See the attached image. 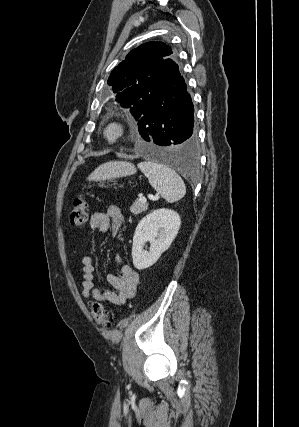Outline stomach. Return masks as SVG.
Masks as SVG:
<instances>
[{
  "instance_id": "stomach-1",
  "label": "stomach",
  "mask_w": 299,
  "mask_h": 427,
  "mask_svg": "<svg viewBox=\"0 0 299 427\" xmlns=\"http://www.w3.org/2000/svg\"><path fill=\"white\" fill-rule=\"evenodd\" d=\"M110 179H112V178H109V179H106V180H110ZM102 186H104V185L102 184Z\"/></svg>"
}]
</instances>
